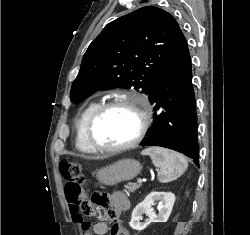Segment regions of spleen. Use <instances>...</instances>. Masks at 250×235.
Instances as JSON below:
<instances>
[{
  "label": "spleen",
  "instance_id": "3e777b00",
  "mask_svg": "<svg viewBox=\"0 0 250 235\" xmlns=\"http://www.w3.org/2000/svg\"><path fill=\"white\" fill-rule=\"evenodd\" d=\"M142 155H149L154 166L160 168L158 180L161 183L177 179L188 168V162L183 155L166 148L150 147L143 150Z\"/></svg>",
  "mask_w": 250,
  "mask_h": 235
}]
</instances>
